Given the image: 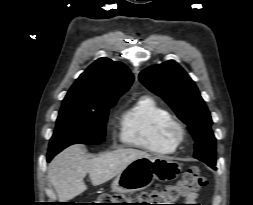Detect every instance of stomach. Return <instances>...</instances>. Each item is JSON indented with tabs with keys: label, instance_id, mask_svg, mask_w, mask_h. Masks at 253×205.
Listing matches in <instances>:
<instances>
[{
	"label": "stomach",
	"instance_id": "0dacf381",
	"mask_svg": "<svg viewBox=\"0 0 253 205\" xmlns=\"http://www.w3.org/2000/svg\"><path fill=\"white\" fill-rule=\"evenodd\" d=\"M181 172V165L166 157H142L131 162L112 183V191L128 193L148 188L155 179L174 180Z\"/></svg>",
	"mask_w": 253,
	"mask_h": 205
}]
</instances>
